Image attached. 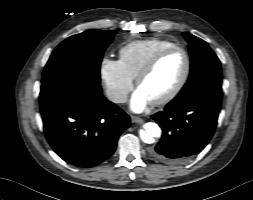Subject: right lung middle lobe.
<instances>
[{"label":"right lung middle lobe","instance_id":"1","mask_svg":"<svg viewBox=\"0 0 253 200\" xmlns=\"http://www.w3.org/2000/svg\"><path fill=\"white\" fill-rule=\"evenodd\" d=\"M115 33L89 30L64 40L51 54L43 72L42 84L80 79L100 85L103 53Z\"/></svg>","mask_w":253,"mask_h":200}]
</instances>
